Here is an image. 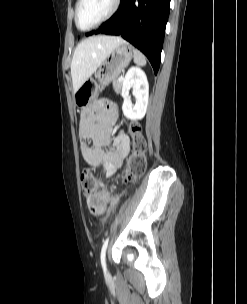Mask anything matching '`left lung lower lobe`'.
I'll return each mask as SVG.
<instances>
[{
	"instance_id": "obj_1",
	"label": "left lung lower lobe",
	"mask_w": 247,
	"mask_h": 304,
	"mask_svg": "<svg viewBox=\"0 0 247 304\" xmlns=\"http://www.w3.org/2000/svg\"><path fill=\"white\" fill-rule=\"evenodd\" d=\"M170 0H121L117 12L86 35H119L146 55L157 74Z\"/></svg>"
}]
</instances>
